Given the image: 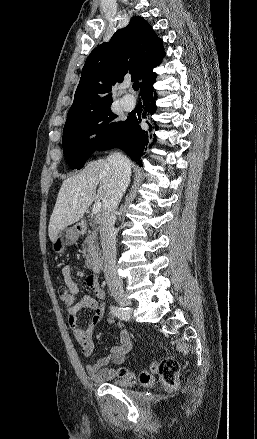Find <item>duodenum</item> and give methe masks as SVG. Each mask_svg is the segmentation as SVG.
I'll return each instance as SVG.
<instances>
[{"instance_id":"obj_1","label":"duodenum","mask_w":257,"mask_h":439,"mask_svg":"<svg viewBox=\"0 0 257 439\" xmlns=\"http://www.w3.org/2000/svg\"><path fill=\"white\" fill-rule=\"evenodd\" d=\"M90 267L92 269V271L96 274L101 272V268H102V263L100 258H94L91 262H90Z\"/></svg>"}]
</instances>
